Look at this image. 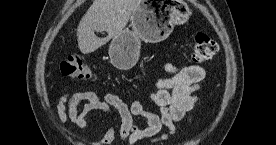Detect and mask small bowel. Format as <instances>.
<instances>
[{
    "instance_id": "small-bowel-1",
    "label": "small bowel",
    "mask_w": 276,
    "mask_h": 145,
    "mask_svg": "<svg viewBox=\"0 0 276 145\" xmlns=\"http://www.w3.org/2000/svg\"><path fill=\"white\" fill-rule=\"evenodd\" d=\"M168 77L160 78L157 89L150 95L160 114L152 113L144 108L140 100L128 104L115 93H107L104 98L91 91H80L74 94L64 92L56 103V112L62 124L73 123L79 129H85L88 115L93 111L102 112L108 120L102 137L91 145H111L116 136L113 124V109L120 116L119 136L126 145L149 139L151 143H159L168 139L175 132L176 124L183 120H191L192 112L198 101L196 92L200 89L205 77L201 66L191 65L177 67L172 63L165 65ZM146 120V127H138L134 117ZM167 129L161 133L162 128Z\"/></svg>"
}]
</instances>
